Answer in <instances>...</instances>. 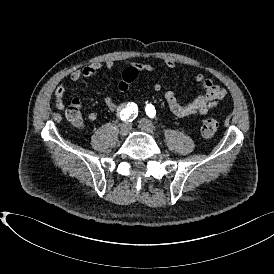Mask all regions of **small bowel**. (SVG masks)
Listing matches in <instances>:
<instances>
[{"mask_svg":"<svg viewBox=\"0 0 274 274\" xmlns=\"http://www.w3.org/2000/svg\"><path fill=\"white\" fill-rule=\"evenodd\" d=\"M123 63L129 65L130 67H136L143 73H153L155 71V67L150 63H138L128 60L123 61ZM164 65L170 69H175L177 67V63L173 59H165ZM114 66L115 62L113 60L93 62L83 68L74 70L70 74V80L72 82H77L82 78H91L94 77L100 69H113ZM194 81L201 85L202 93L188 103H181L176 94L172 91H167L165 93V100L170 111L180 118H186L193 115H203L207 113V111L222 100L226 94L225 90L220 85L215 83L211 78H208L203 72L197 73L194 76ZM128 85L119 84V89L121 91H125L128 88ZM161 88L162 85L160 82L155 81L153 83V89L155 91H160ZM64 94L65 84L60 83L55 90V107L59 111L64 109ZM72 102L80 107V101L78 98H74ZM104 105L109 111L115 112L119 110V106L115 103L111 96H106L104 98ZM97 119L98 114L95 112L88 113L85 118V120L90 123L97 121ZM73 123L77 127L83 126V120L81 118L77 122Z\"/></svg>","mask_w":274,"mask_h":274,"instance_id":"c3829d8e","label":"small bowel"}]
</instances>
